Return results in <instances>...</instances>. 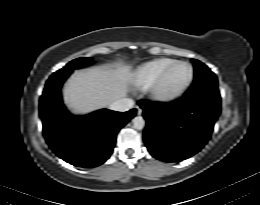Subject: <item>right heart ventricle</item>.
Here are the masks:
<instances>
[{"instance_id":"e07e8e85","label":"right heart ventricle","mask_w":260,"mask_h":205,"mask_svg":"<svg viewBox=\"0 0 260 205\" xmlns=\"http://www.w3.org/2000/svg\"><path fill=\"white\" fill-rule=\"evenodd\" d=\"M177 60L157 58L141 65L134 74V83L142 88L150 87L160 74Z\"/></svg>"}]
</instances>
